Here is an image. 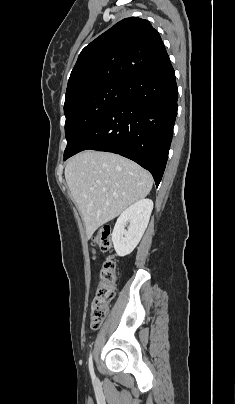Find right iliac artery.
<instances>
[{
  "label": "right iliac artery",
  "instance_id": "1",
  "mask_svg": "<svg viewBox=\"0 0 235 404\" xmlns=\"http://www.w3.org/2000/svg\"><path fill=\"white\" fill-rule=\"evenodd\" d=\"M89 370H90L92 380H95L93 361H92V353H90V355H89Z\"/></svg>",
  "mask_w": 235,
  "mask_h": 404
}]
</instances>
